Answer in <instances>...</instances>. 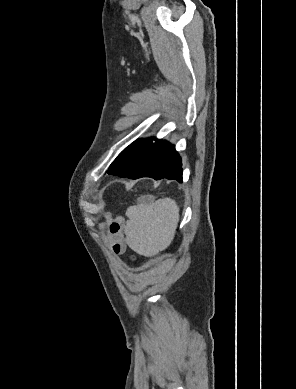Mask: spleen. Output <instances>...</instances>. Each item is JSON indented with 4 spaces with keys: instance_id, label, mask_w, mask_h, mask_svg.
<instances>
[{
    "instance_id": "obj_1",
    "label": "spleen",
    "mask_w": 296,
    "mask_h": 389,
    "mask_svg": "<svg viewBox=\"0 0 296 389\" xmlns=\"http://www.w3.org/2000/svg\"><path fill=\"white\" fill-rule=\"evenodd\" d=\"M128 246L145 257L157 255L172 242L179 221V207L171 198L143 200L126 212Z\"/></svg>"
}]
</instances>
